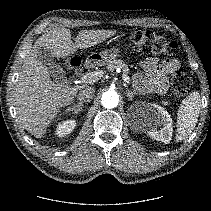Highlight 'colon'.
Here are the masks:
<instances>
[{
	"instance_id": "colon-1",
	"label": "colon",
	"mask_w": 211,
	"mask_h": 211,
	"mask_svg": "<svg viewBox=\"0 0 211 211\" xmlns=\"http://www.w3.org/2000/svg\"><path fill=\"white\" fill-rule=\"evenodd\" d=\"M136 49L145 54L173 57L178 54V44L165 38L163 35L150 29H141L133 34ZM72 67H79L80 61L73 58L70 61ZM191 88V81L182 69H175L172 73V91L174 96L183 97Z\"/></svg>"
}]
</instances>
